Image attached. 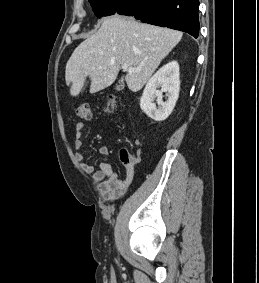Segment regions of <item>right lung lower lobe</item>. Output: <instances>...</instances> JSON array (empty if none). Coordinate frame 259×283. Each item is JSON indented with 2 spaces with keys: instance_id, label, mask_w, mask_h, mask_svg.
<instances>
[{
  "instance_id": "right-lung-lower-lobe-1",
  "label": "right lung lower lobe",
  "mask_w": 259,
  "mask_h": 283,
  "mask_svg": "<svg viewBox=\"0 0 259 283\" xmlns=\"http://www.w3.org/2000/svg\"><path fill=\"white\" fill-rule=\"evenodd\" d=\"M110 14L184 31L198 37L199 0H106Z\"/></svg>"
}]
</instances>
